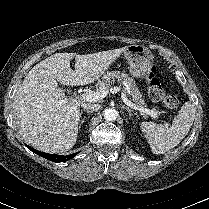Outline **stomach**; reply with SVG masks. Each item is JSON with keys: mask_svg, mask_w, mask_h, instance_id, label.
Masks as SVG:
<instances>
[{"mask_svg": "<svg viewBox=\"0 0 209 209\" xmlns=\"http://www.w3.org/2000/svg\"><path fill=\"white\" fill-rule=\"evenodd\" d=\"M129 70L133 77L145 78L150 73L153 63L151 51L143 45H129L124 51Z\"/></svg>", "mask_w": 209, "mask_h": 209, "instance_id": "0dacf381", "label": "stomach"}]
</instances>
